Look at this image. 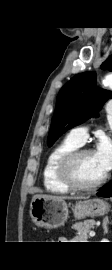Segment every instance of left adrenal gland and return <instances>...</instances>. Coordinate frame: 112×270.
I'll use <instances>...</instances> for the list:
<instances>
[{
  "mask_svg": "<svg viewBox=\"0 0 112 270\" xmlns=\"http://www.w3.org/2000/svg\"><path fill=\"white\" fill-rule=\"evenodd\" d=\"M109 223V219H108V216H106L103 220V228H104V233L107 234L108 233V225Z\"/></svg>",
  "mask_w": 112,
  "mask_h": 270,
  "instance_id": "obj_1",
  "label": "left adrenal gland"
}]
</instances>
